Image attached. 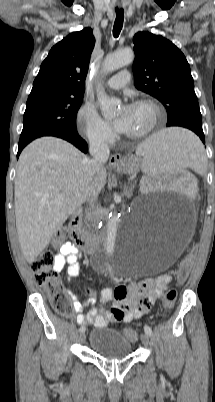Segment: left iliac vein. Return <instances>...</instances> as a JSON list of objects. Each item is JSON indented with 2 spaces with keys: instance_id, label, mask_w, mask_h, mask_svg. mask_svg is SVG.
Here are the masks:
<instances>
[{
  "instance_id": "obj_1",
  "label": "left iliac vein",
  "mask_w": 215,
  "mask_h": 402,
  "mask_svg": "<svg viewBox=\"0 0 215 402\" xmlns=\"http://www.w3.org/2000/svg\"><path fill=\"white\" fill-rule=\"evenodd\" d=\"M141 341L143 343L144 346L148 347L150 344V339H149V335L147 333H143L141 335Z\"/></svg>"
}]
</instances>
